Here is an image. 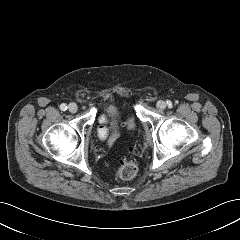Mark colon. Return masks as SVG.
Instances as JSON below:
<instances>
[{
	"label": "colon",
	"instance_id": "1",
	"mask_svg": "<svg viewBox=\"0 0 240 240\" xmlns=\"http://www.w3.org/2000/svg\"><path fill=\"white\" fill-rule=\"evenodd\" d=\"M137 170V166L133 162L123 161L118 174L122 180H130L136 176Z\"/></svg>",
	"mask_w": 240,
	"mask_h": 240
}]
</instances>
